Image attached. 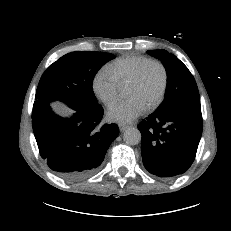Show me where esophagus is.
I'll return each mask as SVG.
<instances>
[{
	"label": "esophagus",
	"mask_w": 231,
	"mask_h": 231,
	"mask_svg": "<svg viewBox=\"0 0 231 231\" xmlns=\"http://www.w3.org/2000/svg\"><path fill=\"white\" fill-rule=\"evenodd\" d=\"M128 127H129V125L120 124V125H119V130H120L121 132H123V131H125Z\"/></svg>",
	"instance_id": "34e87169"
}]
</instances>
